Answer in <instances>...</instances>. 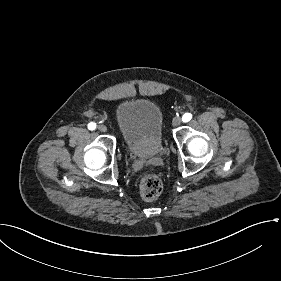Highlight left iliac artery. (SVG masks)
Masks as SVG:
<instances>
[{
  "mask_svg": "<svg viewBox=\"0 0 281 281\" xmlns=\"http://www.w3.org/2000/svg\"><path fill=\"white\" fill-rule=\"evenodd\" d=\"M192 119V115L190 113H185L182 117L183 122H188Z\"/></svg>",
  "mask_w": 281,
  "mask_h": 281,
  "instance_id": "obj_1",
  "label": "left iliac artery"
}]
</instances>
